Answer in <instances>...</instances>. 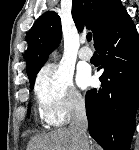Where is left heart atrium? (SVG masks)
I'll return each instance as SVG.
<instances>
[{"mask_svg":"<svg viewBox=\"0 0 139 150\" xmlns=\"http://www.w3.org/2000/svg\"><path fill=\"white\" fill-rule=\"evenodd\" d=\"M78 83L82 87H86L90 83V78L85 73H80L78 76Z\"/></svg>","mask_w":139,"mask_h":150,"instance_id":"obj_1","label":"left heart atrium"}]
</instances>
